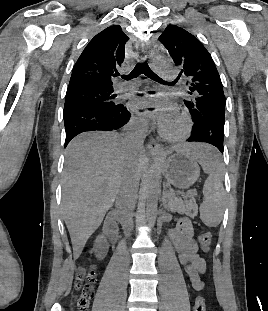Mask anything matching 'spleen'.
Returning <instances> with one entry per match:
<instances>
[{"label":"spleen","mask_w":268,"mask_h":311,"mask_svg":"<svg viewBox=\"0 0 268 311\" xmlns=\"http://www.w3.org/2000/svg\"><path fill=\"white\" fill-rule=\"evenodd\" d=\"M193 157L199 162L208 177L203 186L204 201L200 205V218L209 227L220 224L225 206V190L223 187V166L221 156L211 144L204 140H191Z\"/></svg>","instance_id":"3e777b00"}]
</instances>
